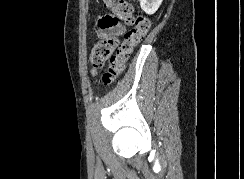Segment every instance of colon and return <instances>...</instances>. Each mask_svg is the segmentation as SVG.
Segmentation results:
<instances>
[{"label":"colon","mask_w":244,"mask_h":179,"mask_svg":"<svg viewBox=\"0 0 244 179\" xmlns=\"http://www.w3.org/2000/svg\"><path fill=\"white\" fill-rule=\"evenodd\" d=\"M104 2L127 26L122 41L116 37L99 40L91 52L90 61L93 75H96L99 68L111 57L108 71L103 75V83L110 85L123 73L133 50L140 45L150 30L151 21L146 14L136 16L133 5L125 0H104ZM112 51H115L114 56H110Z\"/></svg>","instance_id":"colon-1"}]
</instances>
